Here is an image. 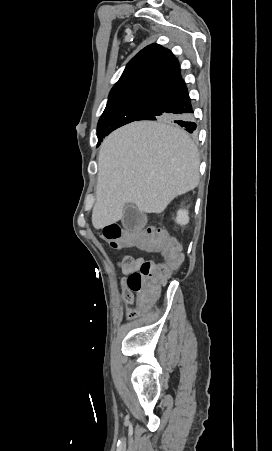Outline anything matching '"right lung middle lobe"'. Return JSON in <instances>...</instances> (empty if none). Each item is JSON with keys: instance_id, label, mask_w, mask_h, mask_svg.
Wrapping results in <instances>:
<instances>
[{"instance_id": "obj_1", "label": "right lung middle lobe", "mask_w": 272, "mask_h": 451, "mask_svg": "<svg viewBox=\"0 0 272 451\" xmlns=\"http://www.w3.org/2000/svg\"><path fill=\"white\" fill-rule=\"evenodd\" d=\"M150 98H130L107 103L97 126L98 145L111 131L140 117L148 109Z\"/></svg>"}]
</instances>
